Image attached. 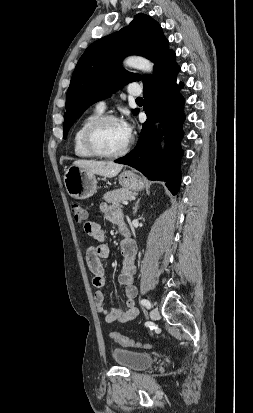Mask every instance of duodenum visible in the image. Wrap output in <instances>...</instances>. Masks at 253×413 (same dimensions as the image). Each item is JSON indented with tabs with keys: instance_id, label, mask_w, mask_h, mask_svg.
Listing matches in <instances>:
<instances>
[{
	"instance_id": "410a0bca",
	"label": "duodenum",
	"mask_w": 253,
	"mask_h": 413,
	"mask_svg": "<svg viewBox=\"0 0 253 413\" xmlns=\"http://www.w3.org/2000/svg\"><path fill=\"white\" fill-rule=\"evenodd\" d=\"M123 234H124L125 238L129 239V237H130V232H129V229H128L127 227L124 229Z\"/></svg>"
}]
</instances>
